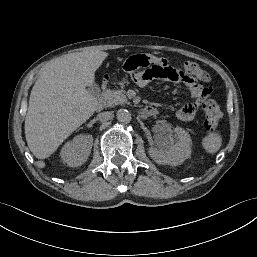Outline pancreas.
<instances>
[{"instance_id": "pancreas-1", "label": "pancreas", "mask_w": 257, "mask_h": 257, "mask_svg": "<svg viewBox=\"0 0 257 257\" xmlns=\"http://www.w3.org/2000/svg\"><path fill=\"white\" fill-rule=\"evenodd\" d=\"M103 99L105 101L106 107H114L116 105H123L128 103V98L125 94L124 89H119V90H107L103 94Z\"/></svg>"}]
</instances>
